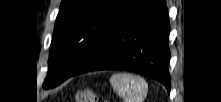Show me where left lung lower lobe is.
Listing matches in <instances>:
<instances>
[{"label": "left lung lower lobe", "instance_id": "left-lung-lower-lobe-1", "mask_svg": "<svg viewBox=\"0 0 221 102\" xmlns=\"http://www.w3.org/2000/svg\"><path fill=\"white\" fill-rule=\"evenodd\" d=\"M169 33L164 0H134L72 76L128 70L158 80L170 92Z\"/></svg>", "mask_w": 221, "mask_h": 102}]
</instances>
